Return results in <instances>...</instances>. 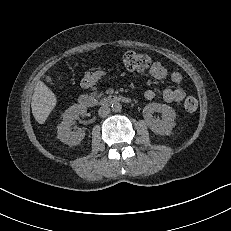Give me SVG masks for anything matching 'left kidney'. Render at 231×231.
<instances>
[{"label": "left kidney", "mask_w": 231, "mask_h": 231, "mask_svg": "<svg viewBox=\"0 0 231 231\" xmlns=\"http://www.w3.org/2000/svg\"><path fill=\"white\" fill-rule=\"evenodd\" d=\"M154 112L162 113V119L153 117ZM143 116L147 126L156 134L169 135L172 132L175 124L176 113L175 110L161 103H150L143 109Z\"/></svg>", "instance_id": "1"}]
</instances>
